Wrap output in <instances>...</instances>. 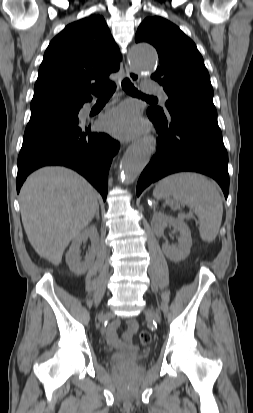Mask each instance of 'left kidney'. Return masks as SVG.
I'll list each match as a JSON object with an SVG mask.
<instances>
[{
  "instance_id": "obj_1",
  "label": "left kidney",
  "mask_w": 253,
  "mask_h": 413,
  "mask_svg": "<svg viewBox=\"0 0 253 413\" xmlns=\"http://www.w3.org/2000/svg\"><path fill=\"white\" fill-rule=\"evenodd\" d=\"M151 226L157 236L163 234L166 226H172L180 233L178 246H170L167 243L162 246V250L168 259L174 262H180L188 257L192 246L191 232L181 218H173L161 212H156L153 215Z\"/></svg>"
}]
</instances>
